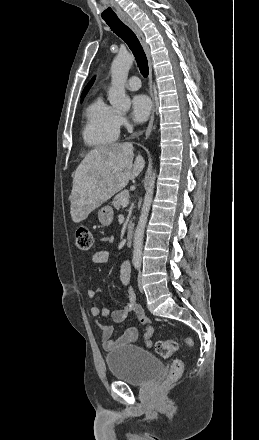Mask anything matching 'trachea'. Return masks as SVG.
<instances>
[{
    "mask_svg": "<svg viewBox=\"0 0 259 440\" xmlns=\"http://www.w3.org/2000/svg\"><path fill=\"white\" fill-rule=\"evenodd\" d=\"M105 22L116 35L126 42L135 56L141 74L144 77H147L149 73L147 58L143 47L134 32L118 17L105 19Z\"/></svg>",
    "mask_w": 259,
    "mask_h": 440,
    "instance_id": "trachea-1",
    "label": "trachea"
}]
</instances>
